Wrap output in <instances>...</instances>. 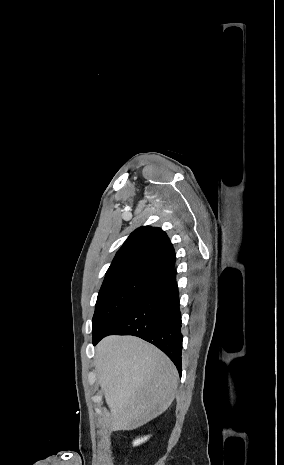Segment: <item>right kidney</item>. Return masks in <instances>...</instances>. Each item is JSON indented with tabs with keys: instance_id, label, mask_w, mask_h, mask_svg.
I'll use <instances>...</instances> for the list:
<instances>
[{
	"instance_id": "right-kidney-1",
	"label": "right kidney",
	"mask_w": 284,
	"mask_h": 465,
	"mask_svg": "<svg viewBox=\"0 0 284 465\" xmlns=\"http://www.w3.org/2000/svg\"><path fill=\"white\" fill-rule=\"evenodd\" d=\"M147 439L148 437H144V439H137V441H134L133 445H141V443H144Z\"/></svg>"
}]
</instances>
